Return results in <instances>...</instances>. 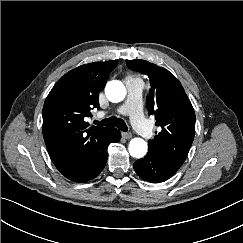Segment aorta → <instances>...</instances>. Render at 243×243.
<instances>
[{"mask_svg":"<svg viewBox=\"0 0 243 243\" xmlns=\"http://www.w3.org/2000/svg\"><path fill=\"white\" fill-rule=\"evenodd\" d=\"M105 94L109 101L117 103L122 101L126 96V88L120 81L108 82L105 87ZM147 143L142 138H133L129 143V153L132 157L142 158L147 152Z\"/></svg>","mask_w":243,"mask_h":243,"instance_id":"1","label":"aorta"}]
</instances>
